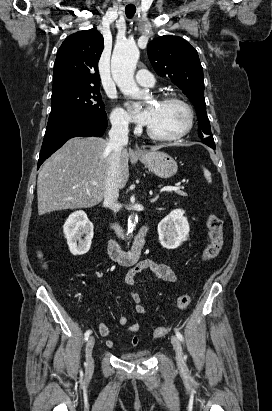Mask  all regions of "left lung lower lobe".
I'll return each instance as SVG.
<instances>
[{"label":"left lung lower lobe","instance_id":"0a47b994","mask_svg":"<svg viewBox=\"0 0 272 411\" xmlns=\"http://www.w3.org/2000/svg\"><path fill=\"white\" fill-rule=\"evenodd\" d=\"M202 142L207 146L211 147L212 149H215V143L212 135L207 136L205 139L202 140Z\"/></svg>","mask_w":272,"mask_h":411}]
</instances>
